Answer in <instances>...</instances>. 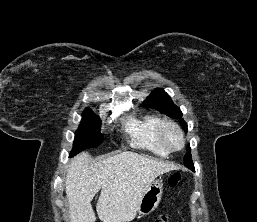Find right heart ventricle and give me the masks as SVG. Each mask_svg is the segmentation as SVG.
Here are the masks:
<instances>
[{"mask_svg": "<svg viewBox=\"0 0 257 222\" xmlns=\"http://www.w3.org/2000/svg\"><path fill=\"white\" fill-rule=\"evenodd\" d=\"M160 119L151 114L131 117L126 122V131L131 140L139 147L154 154L165 156L168 151L158 139V125Z\"/></svg>", "mask_w": 257, "mask_h": 222, "instance_id": "right-heart-ventricle-1", "label": "right heart ventricle"}]
</instances>
